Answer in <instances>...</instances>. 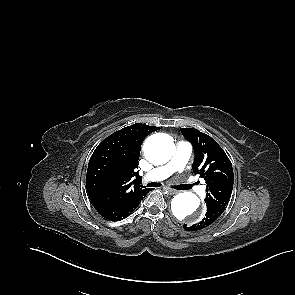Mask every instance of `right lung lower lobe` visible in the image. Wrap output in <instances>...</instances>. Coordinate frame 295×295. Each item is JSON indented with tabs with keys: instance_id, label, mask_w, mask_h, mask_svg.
<instances>
[{
	"instance_id": "1",
	"label": "right lung lower lobe",
	"mask_w": 295,
	"mask_h": 295,
	"mask_svg": "<svg viewBox=\"0 0 295 295\" xmlns=\"http://www.w3.org/2000/svg\"><path fill=\"white\" fill-rule=\"evenodd\" d=\"M148 192H144L135 196L133 199L118 203L110 204L101 201H91L97 212L104 218L111 221H120L131 214L136 207L140 204L141 200L147 195Z\"/></svg>"
}]
</instances>
